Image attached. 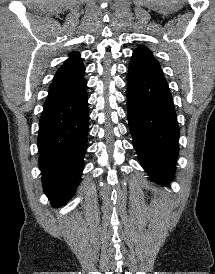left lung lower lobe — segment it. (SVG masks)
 <instances>
[{"label":"left lung lower lobe","instance_id":"0a47b994","mask_svg":"<svg viewBox=\"0 0 215 274\" xmlns=\"http://www.w3.org/2000/svg\"><path fill=\"white\" fill-rule=\"evenodd\" d=\"M127 115L142 167L157 183L167 184L176 169L179 127L164 76L129 66Z\"/></svg>","mask_w":215,"mask_h":274}]
</instances>
